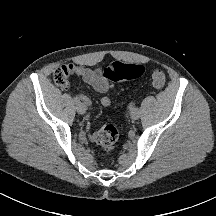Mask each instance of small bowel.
Returning <instances> with one entry per match:
<instances>
[{
    "label": "small bowel",
    "instance_id": "small-bowel-1",
    "mask_svg": "<svg viewBox=\"0 0 216 216\" xmlns=\"http://www.w3.org/2000/svg\"><path fill=\"white\" fill-rule=\"evenodd\" d=\"M72 69V73L77 75L83 82V84L92 87L98 92L105 93L109 90L110 85L105 81L103 77V72L100 68H89L85 66H74L70 65ZM79 99L82 100L84 104L87 106H91L90 99L84 95L79 94ZM100 103L103 106H109L111 104V99L108 96H102L100 99ZM96 131H91L90 137L91 139H95Z\"/></svg>",
    "mask_w": 216,
    "mask_h": 216
}]
</instances>
